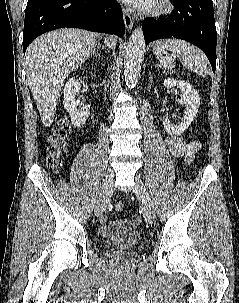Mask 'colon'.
<instances>
[{
  "mask_svg": "<svg viewBox=\"0 0 239 303\" xmlns=\"http://www.w3.org/2000/svg\"><path fill=\"white\" fill-rule=\"evenodd\" d=\"M70 130L71 124L69 120L64 119L53 129L48 138L47 165L54 173H58L63 167V154L68 143ZM115 210L122 212L124 210V203L118 202ZM134 223H139V219L134 218Z\"/></svg>",
  "mask_w": 239,
  "mask_h": 303,
  "instance_id": "5ec220e1",
  "label": "colon"
}]
</instances>
